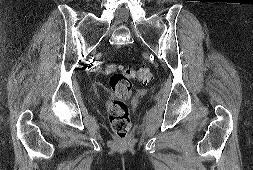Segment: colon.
Instances as JSON below:
<instances>
[{
  "label": "colon",
  "mask_w": 253,
  "mask_h": 170,
  "mask_svg": "<svg viewBox=\"0 0 253 170\" xmlns=\"http://www.w3.org/2000/svg\"><path fill=\"white\" fill-rule=\"evenodd\" d=\"M105 73L110 76L109 83L115 94V98L109 104L108 117L112 129L119 140L128 137L130 130V114L127 100L131 95L132 79H138L148 83L153 79V73L148 66L137 69L124 68L116 63H109L105 67Z\"/></svg>",
  "instance_id": "obj_1"
}]
</instances>
